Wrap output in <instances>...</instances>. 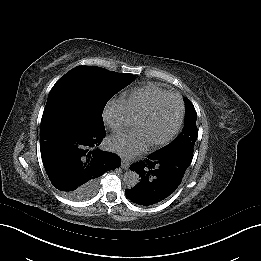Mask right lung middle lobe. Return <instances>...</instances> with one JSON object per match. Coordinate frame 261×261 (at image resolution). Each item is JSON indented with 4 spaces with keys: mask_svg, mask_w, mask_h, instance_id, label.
<instances>
[{
    "mask_svg": "<svg viewBox=\"0 0 261 261\" xmlns=\"http://www.w3.org/2000/svg\"><path fill=\"white\" fill-rule=\"evenodd\" d=\"M134 79L100 67L78 66L57 81L46 106L63 105L103 123L102 112L107 101ZM88 185L87 190L92 191L97 183Z\"/></svg>",
    "mask_w": 261,
    "mask_h": 261,
    "instance_id": "obj_1",
    "label": "right lung middle lobe"
}]
</instances>
